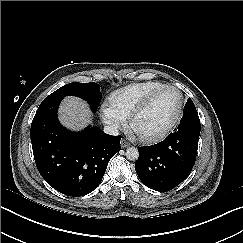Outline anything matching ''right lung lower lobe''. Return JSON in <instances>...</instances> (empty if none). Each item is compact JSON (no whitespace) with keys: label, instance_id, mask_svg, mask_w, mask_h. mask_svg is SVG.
<instances>
[{"label":"right lung lower lobe","instance_id":"98d812e1","mask_svg":"<svg viewBox=\"0 0 243 243\" xmlns=\"http://www.w3.org/2000/svg\"><path fill=\"white\" fill-rule=\"evenodd\" d=\"M61 100L40 104L31 124L33 155L51 187L67 196H84L101 183L109 160L121 149V136L104 134L96 126L68 131L57 119Z\"/></svg>","mask_w":243,"mask_h":243}]
</instances>
